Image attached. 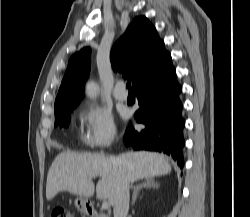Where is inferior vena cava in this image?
Masks as SVG:
<instances>
[{"mask_svg":"<svg viewBox=\"0 0 250 217\" xmlns=\"http://www.w3.org/2000/svg\"><path fill=\"white\" fill-rule=\"evenodd\" d=\"M129 188V182L120 169L113 209L114 217H127L129 210Z\"/></svg>","mask_w":250,"mask_h":217,"instance_id":"inferior-vena-cava-1","label":"inferior vena cava"}]
</instances>
